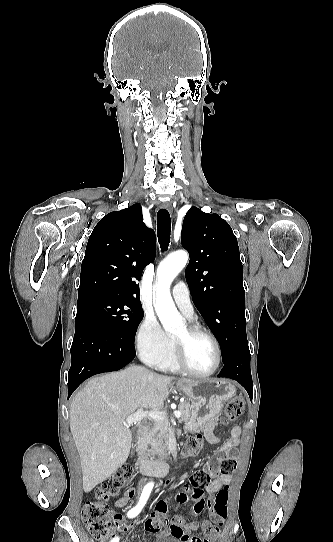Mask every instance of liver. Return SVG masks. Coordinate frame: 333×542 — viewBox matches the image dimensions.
Here are the masks:
<instances>
[{
  "mask_svg": "<svg viewBox=\"0 0 333 542\" xmlns=\"http://www.w3.org/2000/svg\"><path fill=\"white\" fill-rule=\"evenodd\" d=\"M194 384V380L150 376L146 368L130 366L91 378L70 406V430L80 456L84 492H91L125 464L132 440L123 424L139 408L161 410L169 386Z\"/></svg>",
  "mask_w": 333,
  "mask_h": 542,
  "instance_id": "6515ba94",
  "label": "liver"
}]
</instances>
